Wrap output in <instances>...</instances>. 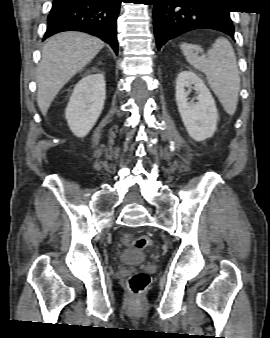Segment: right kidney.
<instances>
[{
	"mask_svg": "<svg viewBox=\"0 0 270 338\" xmlns=\"http://www.w3.org/2000/svg\"><path fill=\"white\" fill-rule=\"evenodd\" d=\"M106 99L103 74L82 78L74 87L65 117L70 130L77 137L86 136L98 120Z\"/></svg>",
	"mask_w": 270,
	"mask_h": 338,
	"instance_id": "right-kidney-1",
	"label": "right kidney"
}]
</instances>
